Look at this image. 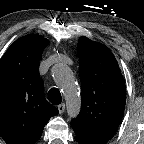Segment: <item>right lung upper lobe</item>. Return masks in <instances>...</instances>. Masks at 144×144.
I'll return each instance as SVG.
<instances>
[{
    "label": "right lung upper lobe",
    "mask_w": 144,
    "mask_h": 144,
    "mask_svg": "<svg viewBox=\"0 0 144 144\" xmlns=\"http://www.w3.org/2000/svg\"><path fill=\"white\" fill-rule=\"evenodd\" d=\"M48 40L38 34L15 41L0 60V135L7 144H34L58 114L44 97L39 74Z\"/></svg>",
    "instance_id": "right-lung-upper-lobe-1"
}]
</instances>
